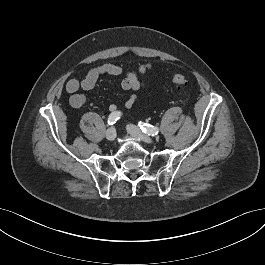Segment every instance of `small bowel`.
I'll use <instances>...</instances> for the list:
<instances>
[{"instance_id":"small-bowel-1","label":"small bowel","mask_w":265,"mask_h":265,"mask_svg":"<svg viewBox=\"0 0 265 265\" xmlns=\"http://www.w3.org/2000/svg\"><path fill=\"white\" fill-rule=\"evenodd\" d=\"M152 65L150 63H146L140 66L137 72H129L121 81V87L124 90H132L137 91L143 87V81L140 79L139 75L145 74L150 71ZM123 74V69L121 66L111 63H104L97 66L92 67L88 70L84 78L82 79H70L67 81L65 89L70 96V104L74 108L82 107L86 102V97L81 91H89L93 89L99 78L105 75L109 76H120ZM136 95H130L124 103L126 108H131L136 101ZM117 106L115 104L109 105V110L115 112Z\"/></svg>"}]
</instances>
